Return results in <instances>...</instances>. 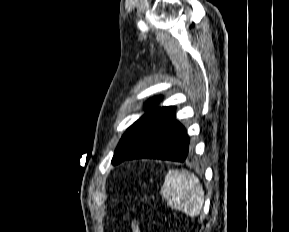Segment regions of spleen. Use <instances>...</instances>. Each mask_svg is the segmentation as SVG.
<instances>
[{
	"label": "spleen",
	"mask_w": 289,
	"mask_h": 232,
	"mask_svg": "<svg viewBox=\"0 0 289 232\" xmlns=\"http://www.w3.org/2000/svg\"><path fill=\"white\" fill-rule=\"evenodd\" d=\"M162 198L167 204L178 211L198 216L204 204V190L198 177L188 170L169 171L161 189Z\"/></svg>",
	"instance_id": "spleen-1"
}]
</instances>
